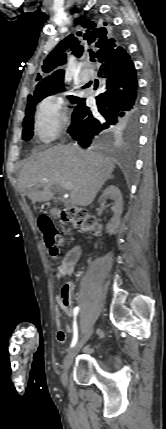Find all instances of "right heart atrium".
<instances>
[{
  "label": "right heart atrium",
  "mask_w": 166,
  "mask_h": 429,
  "mask_svg": "<svg viewBox=\"0 0 166 429\" xmlns=\"http://www.w3.org/2000/svg\"><path fill=\"white\" fill-rule=\"evenodd\" d=\"M68 123L66 100L60 94L46 97L35 114V131L43 141L53 140Z\"/></svg>",
  "instance_id": "1"
}]
</instances>
